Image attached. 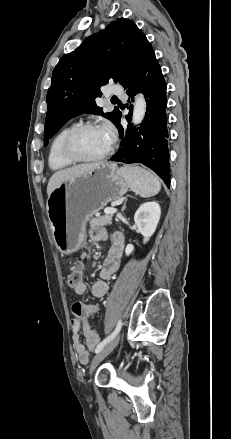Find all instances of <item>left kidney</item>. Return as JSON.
I'll use <instances>...</instances> for the list:
<instances>
[{
  "instance_id": "obj_1",
  "label": "left kidney",
  "mask_w": 231,
  "mask_h": 439,
  "mask_svg": "<svg viewBox=\"0 0 231 439\" xmlns=\"http://www.w3.org/2000/svg\"><path fill=\"white\" fill-rule=\"evenodd\" d=\"M161 216V208L155 201L146 202L142 204L134 215V222L138 227L139 232L143 235V242L149 241L150 237L156 231L158 222ZM134 250L132 244H128L125 249V254L129 256Z\"/></svg>"
}]
</instances>
